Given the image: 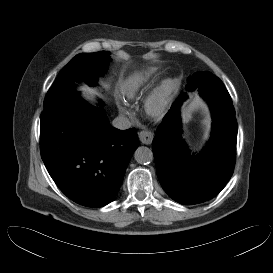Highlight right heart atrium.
<instances>
[{
    "mask_svg": "<svg viewBox=\"0 0 273 273\" xmlns=\"http://www.w3.org/2000/svg\"><path fill=\"white\" fill-rule=\"evenodd\" d=\"M120 111L124 115H132V111H130L126 106H121Z\"/></svg>",
    "mask_w": 273,
    "mask_h": 273,
    "instance_id": "obj_1",
    "label": "right heart atrium"
}]
</instances>
